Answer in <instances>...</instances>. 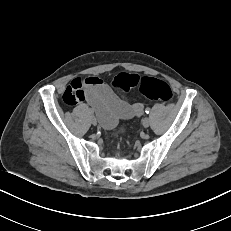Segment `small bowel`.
<instances>
[{
  "mask_svg": "<svg viewBox=\"0 0 231 231\" xmlns=\"http://www.w3.org/2000/svg\"><path fill=\"white\" fill-rule=\"evenodd\" d=\"M63 98L70 105L86 101L107 129L113 128L120 119L140 115L143 110L141 103H131L125 94L96 76L74 78L65 88Z\"/></svg>",
  "mask_w": 231,
  "mask_h": 231,
  "instance_id": "small-bowel-1",
  "label": "small bowel"
}]
</instances>
